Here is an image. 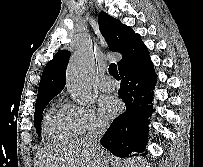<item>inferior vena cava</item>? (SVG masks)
Masks as SVG:
<instances>
[{"label": "inferior vena cava", "instance_id": "1", "mask_svg": "<svg viewBox=\"0 0 203 167\" xmlns=\"http://www.w3.org/2000/svg\"><path fill=\"white\" fill-rule=\"evenodd\" d=\"M108 124L101 120L94 122L91 130L85 138V142L88 143L93 149L100 151L99 140L107 130ZM105 167H108L104 165Z\"/></svg>", "mask_w": 203, "mask_h": 167}]
</instances>
